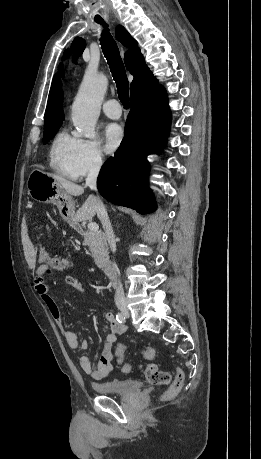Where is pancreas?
Listing matches in <instances>:
<instances>
[{"instance_id": "obj_1", "label": "pancreas", "mask_w": 261, "mask_h": 459, "mask_svg": "<svg viewBox=\"0 0 261 459\" xmlns=\"http://www.w3.org/2000/svg\"><path fill=\"white\" fill-rule=\"evenodd\" d=\"M84 243L89 246L95 264L99 268H104L108 258V246L106 238L102 232H84Z\"/></svg>"}]
</instances>
